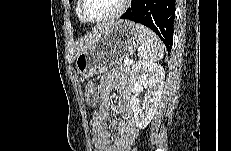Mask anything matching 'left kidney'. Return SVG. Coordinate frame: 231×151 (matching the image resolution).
<instances>
[{"instance_id": "1", "label": "left kidney", "mask_w": 231, "mask_h": 151, "mask_svg": "<svg viewBox=\"0 0 231 151\" xmlns=\"http://www.w3.org/2000/svg\"><path fill=\"white\" fill-rule=\"evenodd\" d=\"M165 72L161 65L140 61L132 73V97L130 106L134 113L136 125L143 129L153 119L161 100ZM146 90L142 106L138 98L140 92Z\"/></svg>"}]
</instances>
